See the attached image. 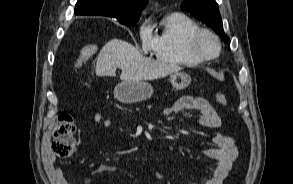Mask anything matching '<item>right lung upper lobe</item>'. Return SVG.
Returning <instances> with one entry per match:
<instances>
[{"label": "right lung upper lobe", "mask_w": 293, "mask_h": 184, "mask_svg": "<svg viewBox=\"0 0 293 184\" xmlns=\"http://www.w3.org/2000/svg\"><path fill=\"white\" fill-rule=\"evenodd\" d=\"M148 0H78L75 14L107 16L119 22L138 20Z\"/></svg>", "instance_id": "obj_1"}]
</instances>
